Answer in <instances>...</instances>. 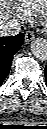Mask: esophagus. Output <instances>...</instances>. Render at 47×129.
<instances>
[{
  "instance_id": "34e87169",
  "label": "esophagus",
  "mask_w": 47,
  "mask_h": 129,
  "mask_svg": "<svg viewBox=\"0 0 47 129\" xmlns=\"http://www.w3.org/2000/svg\"><path fill=\"white\" fill-rule=\"evenodd\" d=\"M35 38L34 33L30 30L25 33V42L30 43Z\"/></svg>"
}]
</instances>
